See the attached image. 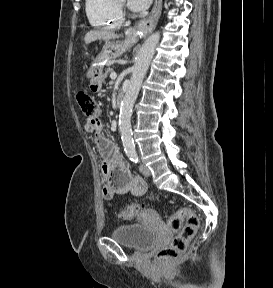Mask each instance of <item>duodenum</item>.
<instances>
[{"instance_id":"obj_1","label":"duodenum","mask_w":273,"mask_h":288,"mask_svg":"<svg viewBox=\"0 0 273 288\" xmlns=\"http://www.w3.org/2000/svg\"><path fill=\"white\" fill-rule=\"evenodd\" d=\"M116 102L119 106L123 105V103L125 102V96L123 93L120 92L117 94Z\"/></svg>"}]
</instances>
